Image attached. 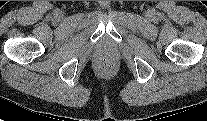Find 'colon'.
<instances>
[{
  "instance_id": "colon-1",
  "label": "colon",
  "mask_w": 207,
  "mask_h": 121,
  "mask_svg": "<svg viewBox=\"0 0 207 121\" xmlns=\"http://www.w3.org/2000/svg\"><path fill=\"white\" fill-rule=\"evenodd\" d=\"M115 65V58L111 53H102L97 58V66L102 70H110Z\"/></svg>"
}]
</instances>
